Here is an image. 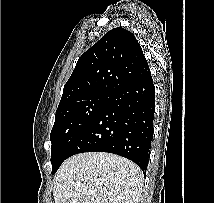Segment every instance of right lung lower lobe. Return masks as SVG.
I'll return each mask as SVG.
<instances>
[{"instance_id": "98d812e1", "label": "right lung lower lobe", "mask_w": 214, "mask_h": 203, "mask_svg": "<svg viewBox=\"0 0 214 203\" xmlns=\"http://www.w3.org/2000/svg\"><path fill=\"white\" fill-rule=\"evenodd\" d=\"M155 112L151 73L110 95L68 157L83 152H109L128 158L146 173ZM56 173V172H55Z\"/></svg>"}]
</instances>
